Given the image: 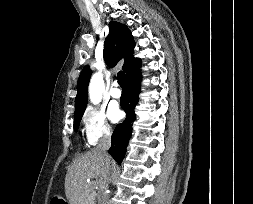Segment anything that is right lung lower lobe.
Instances as JSON below:
<instances>
[{
  "label": "right lung lower lobe",
  "mask_w": 253,
  "mask_h": 204,
  "mask_svg": "<svg viewBox=\"0 0 253 204\" xmlns=\"http://www.w3.org/2000/svg\"><path fill=\"white\" fill-rule=\"evenodd\" d=\"M141 61H139L126 75V91L121 96V106L126 112L125 120L117 125L115 128L111 142L112 145L109 149V154L121 164L129 138L132 133V123L135 119L134 107L138 102V94L140 92V79H141Z\"/></svg>",
  "instance_id": "98d812e1"
}]
</instances>
